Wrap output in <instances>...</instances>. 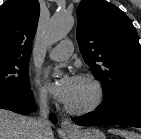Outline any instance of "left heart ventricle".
I'll return each instance as SVG.
<instances>
[{"mask_svg": "<svg viewBox=\"0 0 141 139\" xmlns=\"http://www.w3.org/2000/svg\"><path fill=\"white\" fill-rule=\"evenodd\" d=\"M93 96L94 90L91 84L75 78L70 98L66 104L75 107L83 106L88 104Z\"/></svg>", "mask_w": 141, "mask_h": 139, "instance_id": "b2bd125f", "label": "left heart ventricle"}]
</instances>
